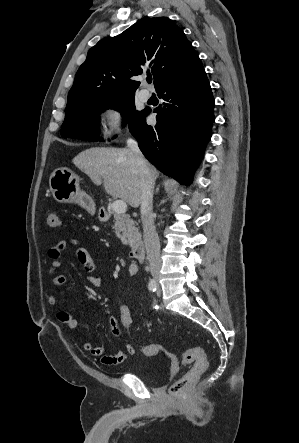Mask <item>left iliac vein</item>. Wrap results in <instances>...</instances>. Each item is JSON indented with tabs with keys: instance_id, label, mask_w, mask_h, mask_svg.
Listing matches in <instances>:
<instances>
[{
	"instance_id": "obj_1",
	"label": "left iliac vein",
	"mask_w": 299,
	"mask_h": 443,
	"mask_svg": "<svg viewBox=\"0 0 299 443\" xmlns=\"http://www.w3.org/2000/svg\"><path fill=\"white\" fill-rule=\"evenodd\" d=\"M162 293L160 286L158 285V289H157V295L160 296Z\"/></svg>"
}]
</instances>
